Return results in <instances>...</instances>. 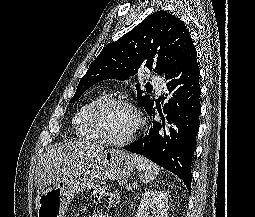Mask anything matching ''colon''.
Here are the masks:
<instances>
[{
  "instance_id": "colon-1",
  "label": "colon",
  "mask_w": 255,
  "mask_h": 217,
  "mask_svg": "<svg viewBox=\"0 0 255 217\" xmlns=\"http://www.w3.org/2000/svg\"><path fill=\"white\" fill-rule=\"evenodd\" d=\"M108 195L106 193V189L103 185H100L98 186V188L94 191V194H93V198L96 200V201H102L105 196ZM111 196V199L112 201H115L116 200V195L115 194H110Z\"/></svg>"
}]
</instances>
